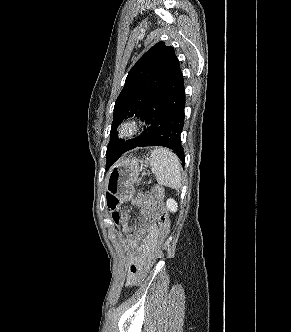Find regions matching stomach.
I'll return each instance as SVG.
<instances>
[{"label":"stomach","mask_w":291,"mask_h":332,"mask_svg":"<svg viewBox=\"0 0 291 332\" xmlns=\"http://www.w3.org/2000/svg\"><path fill=\"white\" fill-rule=\"evenodd\" d=\"M144 167L143 160L126 158L111 168L107 176V190L119 200H129L134 191V183Z\"/></svg>","instance_id":"1"}]
</instances>
